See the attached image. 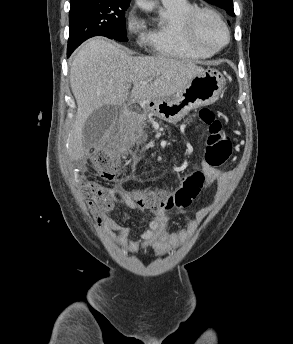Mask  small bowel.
Segmentation results:
<instances>
[{
    "label": "small bowel",
    "instance_id": "c3829d8e",
    "mask_svg": "<svg viewBox=\"0 0 293 344\" xmlns=\"http://www.w3.org/2000/svg\"><path fill=\"white\" fill-rule=\"evenodd\" d=\"M221 177L227 175L221 171L202 163L201 171L196 178L201 184V191L205 192L211 184ZM112 197L117 203L125 205L128 209H139L140 206L131 194L125 193L120 184L109 189ZM209 205L199 210L195 216L186 217L185 227L179 231L169 228V213L161 208H150L151 218L142 229H134L120 224L116 217L106 216L103 219L105 236L115 242L123 251L135 254L139 248L142 250L152 249L157 255H164L184 244L199 225L212 210ZM125 213L123 217H126ZM141 239V243L139 239Z\"/></svg>",
    "mask_w": 293,
    "mask_h": 344
}]
</instances>
